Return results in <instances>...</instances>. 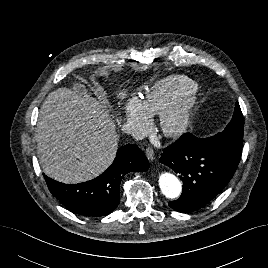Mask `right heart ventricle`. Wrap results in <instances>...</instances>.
Wrapping results in <instances>:
<instances>
[{
    "label": "right heart ventricle",
    "mask_w": 268,
    "mask_h": 268,
    "mask_svg": "<svg viewBox=\"0 0 268 268\" xmlns=\"http://www.w3.org/2000/svg\"><path fill=\"white\" fill-rule=\"evenodd\" d=\"M192 87L195 83L186 76H169L147 86L142 99L152 115L161 114L177 96Z\"/></svg>",
    "instance_id": "1"
}]
</instances>
